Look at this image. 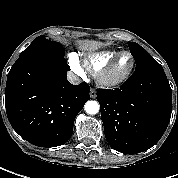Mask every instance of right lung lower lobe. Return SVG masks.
<instances>
[{"mask_svg":"<svg viewBox=\"0 0 178 178\" xmlns=\"http://www.w3.org/2000/svg\"><path fill=\"white\" fill-rule=\"evenodd\" d=\"M69 66L64 57L17 59L5 89V107L13 129L39 147L66 143L74 120L90 99L86 83L67 80Z\"/></svg>","mask_w":178,"mask_h":178,"instance_id":"98d812e1","label":"right lung lower lobe"}]
</instances>
